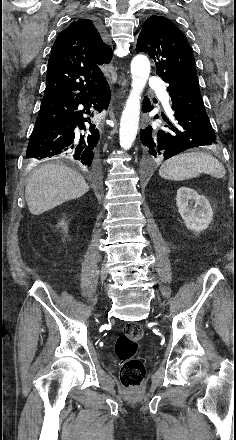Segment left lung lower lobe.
Masks as SVG:
<instances>
[{
  "instance_id": "obj_1",
  "label": "left lung lower lobe",
  "mask_w": 236,
  "mask_h": 440,
  "mask_svg": "<svg viewBox=\"0 0 236 440\" xmlns=\"http://www.w3.org/2000/svg\"><path fill=\"white\" fill-rule=\"evenodd\" d=\"M174 115L167 118L166 125L152 128L148 125L140 131L141 142L146 154L168 159L189 148L216 143L214 130L207 116L198 81H182L168 89ZM153 109L146 97L143 112ZM154 118H158L155 115Z\"/></svg>"
}]
</instances>
